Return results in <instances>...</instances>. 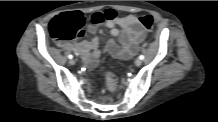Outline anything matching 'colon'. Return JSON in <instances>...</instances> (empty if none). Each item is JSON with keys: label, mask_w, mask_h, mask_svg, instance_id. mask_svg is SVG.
Instances as JSON below:
<instances>
[{"label": "colon", "mask_w": 218, "mask_h": 122, "mask_svg": "<svg viewBox=\"0 0 218 122\" xmlns=\"http://www.w3.org/2000/svg\"><path fill=\"white\" fill-rule=\"evenodd\" d=\"M140 22L146 29H151L154 19L151 15H144L140 18ZM85 18L79 11H73L56 16L50 22V33L58 42L72 40L83 34ZM106 86L110 91L117 87L116 75L109 71L105 74Z\"/></svg>", "instance_id": "1"}]
</instances>
